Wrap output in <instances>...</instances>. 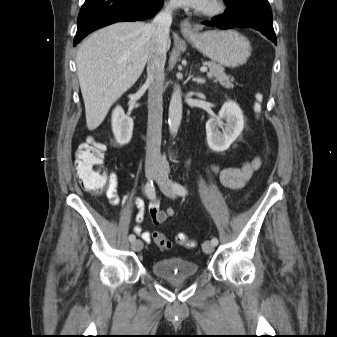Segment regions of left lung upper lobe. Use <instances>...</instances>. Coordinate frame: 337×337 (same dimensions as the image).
Here are the masks:
<instances>
[{
    "label": "left lung upper lobe",
    "mask_w": 337,
    "mask_h": 337,
    "mask_svg": "<svg viewBox=\"0 0 337 337\" xmlns=\"http://www.w3.org/2000/svg\"><path fill=\"white\" fill-rule=\"evenodd\" d=\"M224 1H225V3H226L227 5H229V4H231L232 2L237 1V0H224Z\"/></svg>",
    "instance_id": "left-lung-upper-lobe-1"
}]
</instances>
